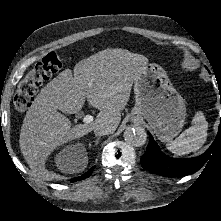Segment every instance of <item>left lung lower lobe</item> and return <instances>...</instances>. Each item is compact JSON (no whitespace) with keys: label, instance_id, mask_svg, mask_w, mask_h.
<instances>
[{"label":"left lung lower lobe","instance_id":"0a47b994","mask_svg":"<svg viewBox=\"0 0 221 221\" xmlns=\"http://www.w3.org/2000/svg\"><path fill=\"white\" fill-rule=\"evenodd\" d=\"M150 140L146 152L141 156V165L146 170L165 177L184 176L198 171L212 156L217 145H221V122L218 135L210 148L195 158L175 159L165 155L149 134Z\"/></svg>","mask_w":221,"mask_h":221}]
</instances>
